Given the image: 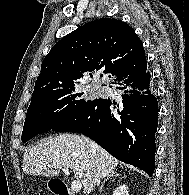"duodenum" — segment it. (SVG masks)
I'll use <instances>...</instances> for the list:
<instances>
[{
	"instance_id": "1",
	"label": "duodenum",
	"mask_w": 189,
	"mask_h": 195,
	"mask_svg": "<svg viewBox=\"0 0 189 195\" xmlns=\"http://www.w3.org/2000/svg\"><path fill=\"white\" fill-rule=\"evenodd\" d=\"M51 189L54 195H73L69 191L65 183L60 180H55L52 184Z\"/></svg>"
}]
</instances>
